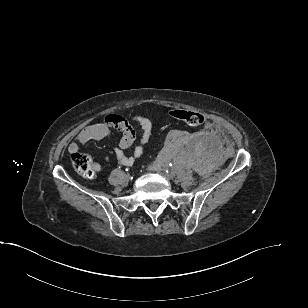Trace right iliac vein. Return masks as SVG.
Listing matches in <instances>:
<instances>
[{"label": "right iliac vein", "mask_w": 308, "mask_h": 308, "mask_svg": "<svg viewBox=\"0 0 308 308\" xmlns=\"http://www.w3.org/2000/svg\"><path fill=\"white\" fill-rule=\"evenodd\" d=\"M127 179H129V175H127Z\"/></svg>", "instance_id": "right-iliac-vein-1"}]
</instances>
